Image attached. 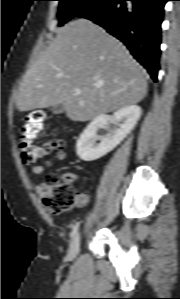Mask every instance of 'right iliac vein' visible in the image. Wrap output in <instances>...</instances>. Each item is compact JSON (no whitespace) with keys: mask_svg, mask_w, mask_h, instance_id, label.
Returning <instances> with one entry per match:
<instances>
[{"mask_svg":"<svg viewBox=\"0 0 180 299\" xmlns=\"http://www.w3.org/2000/svg\"><path fill=\"white\" fill-rule=\"evenodd\" d=\"M80 243H81L80 235L76 234L72 239L68 250V258L70 260H73L78 255L80 250Z\"/></svg>","mask_w":180,"mask_h":299,"instance_id":"right-iliac-vein-1","label":"right iliac vein"}]
</instances>
